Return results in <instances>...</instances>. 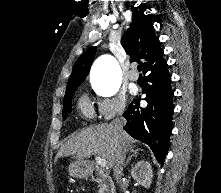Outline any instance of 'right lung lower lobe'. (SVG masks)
Returning <instances> with one entry per match:
<instances>
[{
	"mask_svg": "<svg viewBox=\"0 0 221 193\" xmlns=\"http://www.w3.org/2000/svg\"><path fill=\"white\" fill-rule=\"evenodd\" d=\"M143 93L148 102L146 108L139 106L140 98L134 99L123 114L127 120L124 130L135 139L150 146L155 157L163 165L169 146L174 112L171 75L167 64L147 73Z\"/></svg>",
	"mask_w": 221,
	"mask_h": 193,
	"instance_id": "obj_1",
	"label": "right lung lower lobe"
}]
</instances>
